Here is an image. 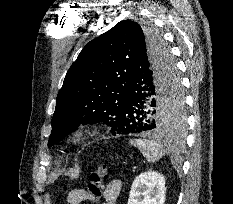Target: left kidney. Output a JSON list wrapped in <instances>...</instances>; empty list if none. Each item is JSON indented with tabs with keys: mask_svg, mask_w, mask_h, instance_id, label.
<instances>
[{
	"mask_svg": "<svg viewBox=\"0 0 233 204\" xmlns=\"http://www.w3.org/2000/svg\"><path fill=\"white\" fill-rule=\"evenodd\" d=\"M165 193L164 176L154 171L144 172L133 181L127 204H164Z\"/></svg>",
	"mask_w": 233,
	"mask_h": 204,
	"instance_id": "obj_1",
	"label": "left kidney"
}]
</instances>
